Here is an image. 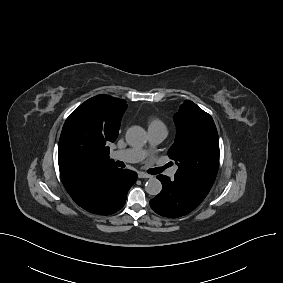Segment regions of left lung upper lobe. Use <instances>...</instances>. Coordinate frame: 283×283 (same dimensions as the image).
Listing matches in <instances>:
<instances>
[{"mask_svg": "<svg viewBox=\"0 0 283 283\" xmlns=\"http://www.w3.org/2000/svg\"><path fill=\"white\" fill-rule=\"evenodd\" d=\"M174 121L177 134L168 156L179 166L175 176L207 195L219 167V139L214 121L189 100L180 106Z\"/></svg>", "mask_w": 283, "mask_h": 283, "instance_id": "obj_1", "label": "left lung upper lobe"}]
</instances>
